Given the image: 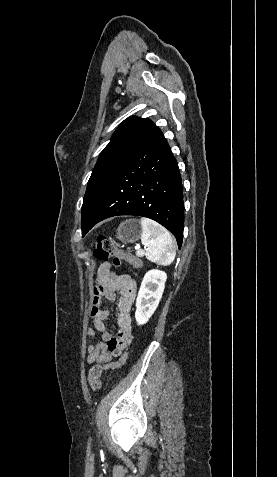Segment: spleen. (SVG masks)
Listing matches in <instances>:
<instances>
[{
	"label": "spleen",
	"instance_id": "spleen-1",
	"mask_svg": "<svg viewBox=\"0 0 277 477\" xmlns=\"http://www.w3.org/2000/svg\"><path fill=\"white\" fill-rule=\"evenodd\" d=\"M141 242L147 247L145 256L159 265H170L176 256V243L171 234L157 222L141 218Z\"/></svg>",
	"mask_w": 277,
	"mask_h": 477
}]
</instances>
